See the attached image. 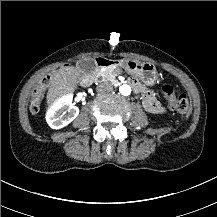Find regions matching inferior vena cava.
Returning a JSON list of instances; mask_svg holds the SVG:
<instances>
[{
    "label": "inferior vena cava",
    "instance_id": "602c4592",
    "mask_svg": "<svg viewBox=\"0 0 217 217\" xmlns=\"http://www.w3.org/2000/svg\"><path fill=\"white\" fill-rule=\"evenodd\" d=\"M112 89V86L108 82H101L96 87V90L100 93H108L111 92Z\"/></svg>",
    "mask_w": 217,
    "mask_h": 217
}]
</instances>
